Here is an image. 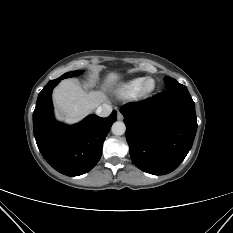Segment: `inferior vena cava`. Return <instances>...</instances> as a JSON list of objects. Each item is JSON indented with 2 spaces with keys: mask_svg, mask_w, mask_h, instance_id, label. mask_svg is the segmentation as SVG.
<instances>
[{
  "mask_svg": "<svg viewBox=\"0 0 233 233\" xmlns=\"http://www.w3.org/2000/svg\"><path fill=\"white\" fill-rule=\"evenodd\" d=\"M112 112L111 105L107 103H103L96 109V114L100 117H108Z\"/></svg>",
  "mask_w": 233,
  "mask_h": 233,
  "instance_id": "1",
  "label": "inferior vena cava"
}]
</instances>
